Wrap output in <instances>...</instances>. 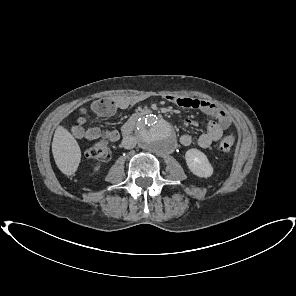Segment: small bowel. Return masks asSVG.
<instances>
[{"label":"small bowel","mask_w":296,"mask_h":296,"mask_svg":"<svg viewBox=\"0 0 296 296\" xmlns=\"http://www.w3.org/2000/svg\"><path fill=\"white\" fill-rule=\"evenodd\" d=\"M170 103H173L181 108L197 109L201 112L212 117L206 124V130L199 135L196 140L197 145L202 149H207L212 143L218 141L223 132L230 126L231 118L227 111L222 107L215 105L207 100L190 98V97H177L168 95L165 97ZM137 99H129L125 97L105 98L94 101L90 105V110L97 116L105 117L111 116L118 110H124L133 103L137 102ZM85 110H81V116L78 119V123L71 127V133L77 139L81 140H95L98 138H105L111 142H116L120 139L122 131L116 129L103 130L98 127H92L85 129L83 127ZM187 126H193L196 124L194 120H186ZM179 142L182 146L188 147L193 143V138L188 133H183L179 137Z\"/></svg>","instance_id":"small-bowel-1"}]
</instances>
